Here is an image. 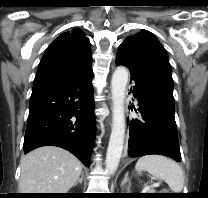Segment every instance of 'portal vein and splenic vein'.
<instances>
[{
    "instance_id": "1",
    "label": "portal vein and splenic vein",
    "mask_w": 208,
    "mask_h": 198,
    "mask_svg": "<svg viewBox=\"0 0 208 198\" xmlns=\"http://www.w3.org/2000/svg\"><path fill=\"white\" fill-rule=\"evenodd\" d=\"M150 186H145L144 190H149Z\"/></svg>"
}]
</instances>
